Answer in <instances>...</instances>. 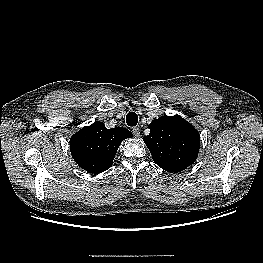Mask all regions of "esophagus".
Listing matches in <instances>:
<instances>
[{
    "label": "esophagus",
    "instance_id": "34e87169",
    "mask_svg": "<svg viewBox=\"0 0 263 263\" xmlns=\"http://www.w3.org/2000/svg\"><path fill=\"white\" fill-rule=\"evenodd\" d=\"M132 132H133V134H134V136L135 137H140V130H139V128L138 127H134L133 129H132Z\"/></svg>",
    "mask_w": 263,
    "mask_h": 263
}]
</instances>
